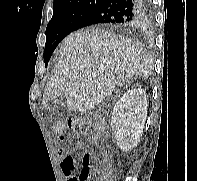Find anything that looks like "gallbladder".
<instances>
[{
	"label": "gallbladder",
	"mask_w": 197,
	"mask_h": 181,
	"mask_svg": "<svg viewBox=\"0 0 197 181\" xmlns=\"http://www.w3.org/2000/svg\"><path fill=\"white\" fill-rule=\"evenodd\" d=\"M65 103L63 101V98H57L53 101L51 106V112L54 115H58L64 111Z\"/></svg>",
	"instance_id": "bac80fb5"
}]
</instances>
